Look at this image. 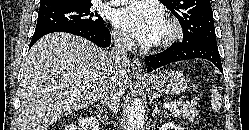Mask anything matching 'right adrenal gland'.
<instances>
[{"mask_svg":"<svg viewBox=\"0 0 249 130\" xmlns=\"http://www.w3.org/2000/svg\"><path fill=\"white\" fill-rule=\"evenodd\" d=\"M96 108L98 109V111L100 112V114H102V115L104 114L105 109H104L103 107L97 105ZM105 113H106V112H105ZM104 117H106V114L103 115V118H104Z\"/></svg>","mask_w":249,"mask_h":130,"instance_id":"right-adrenal-gland-1","label":"right adrenal gland"}]
</instances>
